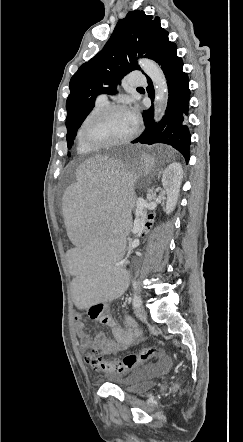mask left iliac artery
<instances>
[{
	"mask_svg": "<svg viewBox=\"0 0 243 442\" xmlns=\"http://www.w3.org/2000/svg\"><path fill=\"white\" fill-rule=\"evenodd\" d=\"M142 303L140 296L137 294L136 287L134 286L133 306H140Z\"/></svg>",
	"mask_w": 243,
	"mask_h": 442,
	"instance_id": "44dca946",
	"label": "left iliac artery"
}]
</instances>
